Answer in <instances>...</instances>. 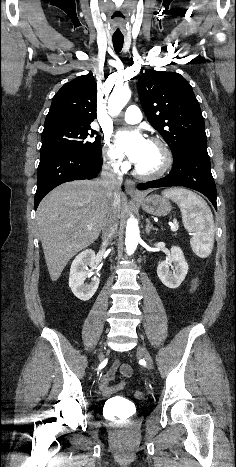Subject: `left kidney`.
<instances>
[{
    "label": "left kidney",
    "mask_w": 236,
    "mask_h": 467,
    "mask_svg": "<svg viewBox=\"0 0 236 467\" xmlns=\"http://www.w3.org/2000/svg\"><path fill=\"white\" fill-rule=\"evenodd\" d=\"M188 269V263L184 258L181 248L173 246L168 259L158 265L157 275L166 287L176 289L185 279Z\"/></svg>",
    "instance_id": "5707ae66"
}]
</instances>
